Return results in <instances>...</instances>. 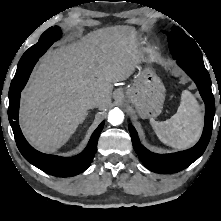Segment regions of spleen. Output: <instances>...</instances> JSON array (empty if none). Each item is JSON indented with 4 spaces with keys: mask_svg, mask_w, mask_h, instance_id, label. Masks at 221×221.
<instances>
[{
    "mask_svg": "<svg viewBox=\"0 0 221 221\" xmlns=\"http://www.w3.org/2000/svg\"><path fill=\"white\" fill-rule=\"evenodd\" d=\"M150 123L161 142L173 148L186 149L201 136L203 113L194 96L184 90L176 114L161 122L151 118Z\"/></svg>",
    "mask_w": 221,
    "mask_h": 221,
    "instance_id": "1",
    "label": "spleen"
}]
</instances>
